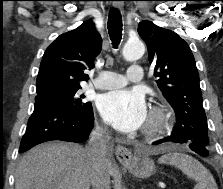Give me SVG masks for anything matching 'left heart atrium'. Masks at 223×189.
<instances>
[{
    "label": "left heart atrium",
    "mask_w": 223,
    "mask_h": 189,
    "mask_svg": "<svg viewBox=\"0 0 223 189\" xmlns=\"http://www.w3.org/2000/svg\"><path fill=\"white\" fill-rule=\"evenodd\" d=\"M102 117L121 132L141 128L148 119L144 94L138 90H115L102 95L98 102Z\"/></svg>",
    "instance_id": "1"
}]
</instances>
